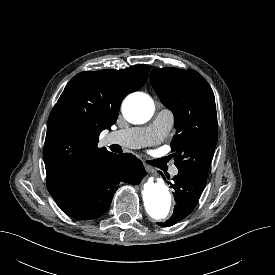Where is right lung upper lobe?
Segmentation results:
<instances>
[{"label": "right lung upper lobe", "mask_w": 275, "mask_h": 275, "mask_svg": "<svg viewBox=\"0 0 275 275\" xmlns=\"http://www.w3.org/2000/svg\"><path fill=\"white\" fill-rule=\"evenodd\" d=\"M150 67L85 71L74 76L51 111L47 124L44 162L47 188L60 194L82 169L110 153L98 148L99 135L117 120L127 94L147 81Z\"/></svg>", "instance_id": "right-lung-upper-lobe-1"}]
</instances>
